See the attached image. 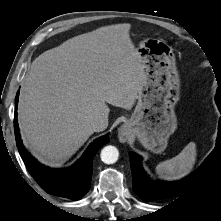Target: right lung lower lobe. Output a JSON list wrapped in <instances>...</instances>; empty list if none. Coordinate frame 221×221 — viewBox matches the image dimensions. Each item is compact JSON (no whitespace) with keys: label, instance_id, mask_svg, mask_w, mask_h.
Masks as SVG:
<instances>
[{"label":"right lung lower lobe","instance_id":"right-lung-lower-lobe-1","mask_svg":"<svg viewBox=\"0 0 221 221\" xmlns=\"http://www.w3.org/2000/svg\"><path fill=\"white\" fill-rule=\"evenodd\" d=\"M18 96L19 91L15 98L14 129L16 144L26 168L47 193L72 200L80 199L90 188L94 156L103 145L109 142V136L105 135L94 141L82 158L69 169L59 171L45 167L26 151L20 139L17 123Z\"/></svg>","mask_w":221,"mask_h":221}]
</instances>
